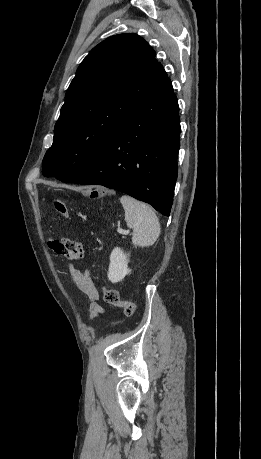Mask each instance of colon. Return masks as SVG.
<instances>
[{"label": "colon", "mask_w": 261, "mask_h": 459, "mask_svg": "<svg viewBox=\"0 0 261 459\" xmlns=\"http://www.w3.org/2000/svg\"><path fill=\"white\" fill-rule=\"evenodd\" d=\"M76 195L78 197H91L98 198L102 195V192L96 190L95 188H78L76 190ZM53 205L57 212L63 217L67 218L69 216V211L65 201L61 199H55ZM103 299L104 301L114 307H119L123 309L125 317H130L134 314L136 310V305L131 301H123L120 299L119 293L117 290L107 287H102Z\"/></svg>", "instance_id": "1"}]
</instances>
